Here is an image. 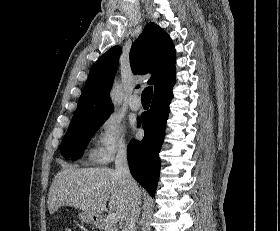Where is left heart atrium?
Masks as SVG:
<instances>
[{
	"label": "left heart atrium",
	"instance_id": "obj_1",
	"mask_svg": "<svg viewBox=\"0 0 280 231\" xmlns=\"http://www.w3.org/2000/svg\"><path fill=\"white\" fill-rule=\"evenodd\" d=\"M133 132H134V134L137 136V135H139L140 134V129H138L136 126H133Z\"/></svg>",
	"mask_w": 280,
	"mask_h": 231
}]
</instances>
